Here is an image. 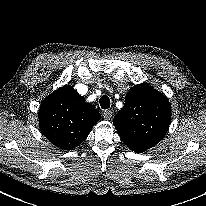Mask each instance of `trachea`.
Returning a JSON list of instances; mask_svg holds the SVG:
<instances>
[{
	"mask_svg": "<svg viewBox=\"0 0 206 206\" xmlns=\"http://www.w3.org/2000/svg\"><path fill=\"white\" fill-rule=\"evenodd\" d=\"M99 102L102 109H108L110 107V99L106 95H103Z\"/></svg>",
	"mask_w": 206,
	"mask_h": 206,
	"instance_id": "3493384b",
	"label": "trachea"
}]
</instances>
